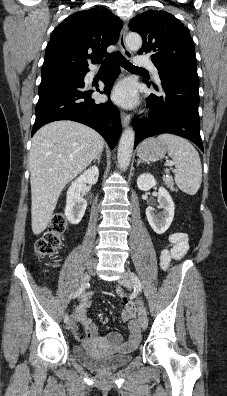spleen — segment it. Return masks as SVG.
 I'll return each mask as SVG.
<instances>
[{
	"mask_svg": "<svg viewBox=\"0 0 227 396\" xmlns=\"http://www.w3.org/2000/svg\"><path fill=\"white\" fill-rule=\"evenodd\" d=\"M166 144L168 155L174 161L175 183L183 192L194 195L202 182V166L197 150L184 138L162 134L157 138Z\"/></svg>",
	"mask_w": 227,
	"mask_h": 396,
	"instance_id": "spleen-1",
	"label": "spleen"
}]
</instances>
